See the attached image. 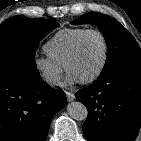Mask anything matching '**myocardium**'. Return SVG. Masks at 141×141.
<instances>
[{"mask_svg":"<svg viewBox=\"0 0 141 141\" xmlns=\"http://www.w3.org/2000/svg\"><path fill=\"white\" fill-rule=\"evenodd\" d=\"M92 33L97 34L103 42V46H104L103 59H102L100 67L92 76L80 81L83 84H90V83L95 82L96 80H98L101 77V75L104 73V71L106 69V66L108 63V58H109V44H108V40H107L106 36L104 35V33L102 31H100L98 29H94V28L85 30L76 40V42L73 45V47H72V49L66 59V62H65V69L68 71L69 64L78 55L85 37L89 34H92Z\"/></svg>","mask_w":141,"mask_h":141,"instance_id":"myocardium-1","label":"myocardium"}]
</instances>
